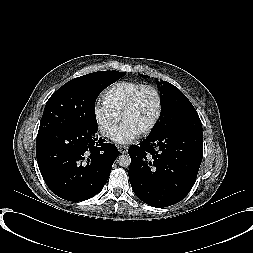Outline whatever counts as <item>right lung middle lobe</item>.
<instances>
[{
  "label": "right lung middle lobe",
  "instance_id": "dd1d6c3e",
  "mask_svg": "<svg viewBox=\"0 0 253 253\" xmlns=\"http://www.w3.org/2000/svg\"><path fill=\"white\" fill-rule=\"evenodd\" d=\"M124 75L119 71H99L64 84L47 101L38 135L75 125L98 129L95 101L103 89Z\"/></svg>",
  "mask_w": 253,
  "mask_h": 253
}]
</instances>
